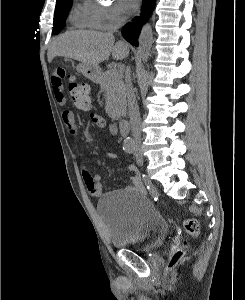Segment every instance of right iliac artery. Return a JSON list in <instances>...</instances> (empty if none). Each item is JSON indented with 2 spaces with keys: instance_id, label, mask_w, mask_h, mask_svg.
Instances as JSON below:
<instances>
[{
  "instance_id": "82829eb1",
  "label": "right iliac artery",
  "mask_w": 245,
  "mask_h": 300,
  "mask_svg": "<svg viewBox=\"0 0 245 300\" xmlns=\"http://www.w3.org/2000/svg\"><path fill=\"white\" fill-rule=\"evenodd\" d=\"M124 150H125V152H127V153H133L134 152V150H135V147L134 146H126V147H124L123 148Z\"/></svg>"
}]
</instances>
